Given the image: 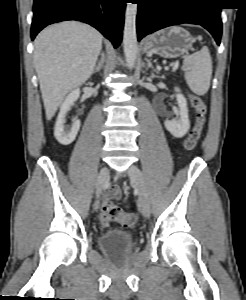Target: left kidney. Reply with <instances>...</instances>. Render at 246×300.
<instances>
[{
    "label": "left kidney",
    "mask_w": 246,
    "mask_h": 300,
    "mask_svg": "<svg viewBox=\"0 0 246 300\" xmlns=\"http://www.w3.org/2000/svg\"><path fill=\"white\" fill-rule=\"evenodd\" d=\"M175 91L177 92L176 99L179 106L178 118L172 120L167 119L164 125L175 138H182L190 129L188 107L186 98L180 93V89L175 87Z\"/></svg>",
    "instance_id": "5707ae66"
}]
</instances>
